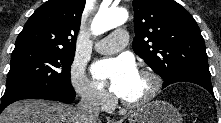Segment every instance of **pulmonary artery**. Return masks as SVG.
I'll return each mask as SVG.
<instances>
[{
    "label": "pulmonary artery",
    "instance_id": "1",
    "mask_svg": "<svg viewBox=\"0 0 221 123\" xmlns=\"http://www.w3.org/2000/svg\"><path fill=\"white\" fill-rule=\"evenodd\" d=\"M127 40V32L123 29H117L107 37L96 42L94 47L100 53L111 54L124 48Z\"/></svg>",
    "mask_w": 221,
    "mask_h": 123
}]
</instances>
